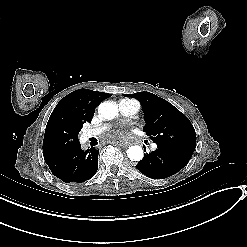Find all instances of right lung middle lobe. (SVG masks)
<instances>
[{"label": "right lung middle lobe", "instance_id": "1", "mask_svg": "<svg viewBox=\"0 0 247 247\" xmlns=\"http://www.w3.org/2000/svg\"><path fill=\"white\" fill-rule=\"evenodd\" d=\"M78 134L79 133H76V134L70 135V136H64V137H61V138L55 140L49 146L48 149L43 151V154L60 152L62 150L69 148L70 146H72L76 143H79Z\"/></svg>", "mask_w": 247, "mask_h": 247}]
</instances>
